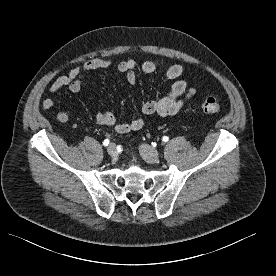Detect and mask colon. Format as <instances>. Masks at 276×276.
I'll use <instances>...</instances> for the list:
<instances>
[{
	"instance_id": "obj_1",
	"label": "colon",
	"mask_w": 276,
	"mask_h": 276,
	"mask_svg": "<svg viewBox=\"0 0 276 276\" xmlns=\"http://www.w3.org/2000/svg\"><path fill=\"white\" fill-rule=\"evenodd\" d=\"M203 111L208 115H216L221 110L220 101L215 97H208L203 103Z\"/></svg>"
}]
</instances>
